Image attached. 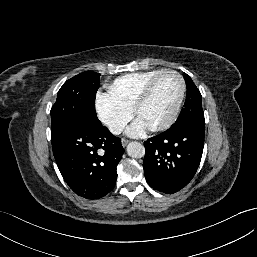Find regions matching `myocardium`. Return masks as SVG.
I'll list each match as a JSON object with an SVG mask.
<instances>
[{
    "mask_svg": "<svg viewBox=\"0 0 257 257\" xmlns=\"http://www.w3.org/2000/svg\"><path fill=\"white\" fill-rule=\"evenodd\" d=\"M167 74H172L175 75L179 82H180V94H179V98L178 101L171 113V115L161 124L156 125L154 127L149 128L150 131L152 132H159V131H163L167 128H169L177 119L181 108L183 106L184 103V99H185V94H186V83H185V79L184 77L175 70L172 69H166L163 70L162 72H160L158 75H156L142 90V92L140 93L139 97L137 98L134 106H133V113L135 116H138L139 111L141 110V108L145 105V103L149 100L155 85L157 84V82L164 76Z\"/></svg>",
    "mask_w": 257,
    "mask_h": 257,
    "instance_id": "1",
    "label": "myocardium"
}]
</instances>
